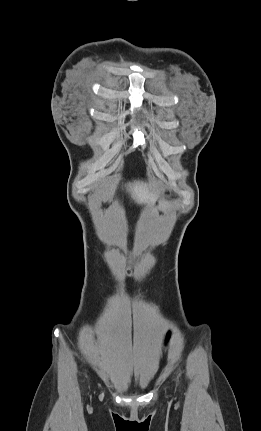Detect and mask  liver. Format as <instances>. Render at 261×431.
Here are the masks:
<instances>
[{
    "label": "liver",
    "instance_id": "6515ba94",
    "mask_svg": "<svg viewBox=\"0 0 261 431\" xmlns=\"http://www.w3.org/2000/svg\"><path fill=\"white\" fill-rule=\"evenodd\" d=\"M127 191L137 203H151L156 197V194L142 181L129 183L127 185Z\"/></svg>",
    "mask_w": 261,
    "mask_h": 431
}]
</instances>
